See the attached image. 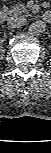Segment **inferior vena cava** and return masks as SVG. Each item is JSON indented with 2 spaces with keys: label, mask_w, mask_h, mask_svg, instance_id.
Wrapping results in <instances>:
<instances>
[{
  "label": "inferior vena cava",
  "mask_w": 51,
  "mask_h": 153,
  "mask_svg": "<svg viewBox=\"0 0 51 153\" xmlns=\"http://www.w3.org/2000/svg\"><path fill=\"white\" fill-rule=\"evenodd\" d=\"M27 20L24 16L14 15L8 19V26L11 28H21L26 24Z\"/></svg>",
  "instance_id": "602c4592"
}]
</instances>
